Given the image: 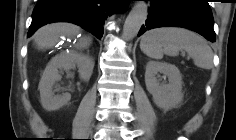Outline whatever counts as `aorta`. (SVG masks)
<instances>
[{"mask_svg":"<svg viewBox=\"0 0 236 140\" xmlns=\"http://www.w3.org/2000/svg\"><path fill=\"white\" fill-rule=\"evenodd\" d=\"M147 16L148 4L144 1H137L125 20L122 33L123 39H133L145 23Z\"/></svg>","mask_w":236,"mask_h":140,"instance_id":"762f6f07","label":"aorta"}]
</instances>
